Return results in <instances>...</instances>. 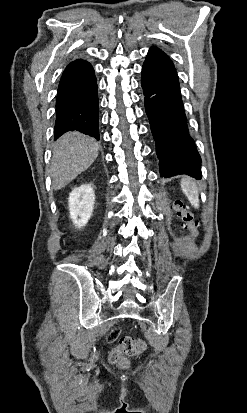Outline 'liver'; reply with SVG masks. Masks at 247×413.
I'll use <instances>...</instances> for the list:
<instances>
[{
  "label": "liver",
  "mask_w": 247,
  "mask_h": 413,
  "mask_svg": "<svg viewBox=\"0 0 247 413\" xmlns=\"http://www.w3.org/2000/svg\"><path fill=\"white\" fill-rule=\"evenodd\" d=\"M99 144L81 132H65L53 148L50 172L52 188L59 190L89 168L98 156Z\"/></svg>",
  "instance_id": "liver-1"
}]
</instances>
